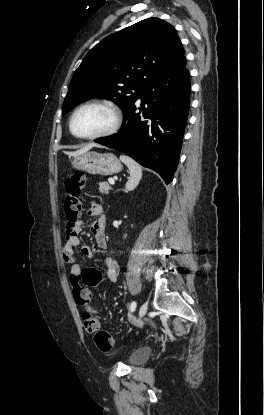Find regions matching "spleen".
<instances>
[{
    "mask_svg": "<svg viewBox=\"0 0 264 415\" xmlns=\"http://www.w3.org/2000/svg\"><path fill=\"white\" fill-rule=\"evenodd\" d=\"M120 160L128 167L130 173L125 185L126 191L133 190L142 178V168L136 161L126 155H121Z\"/></svg>",
    "mask_w": 264,
    "mask_h": 415,
    "instance_id": "spleen-1",
    "label": "spleen"
}]
</instances>
